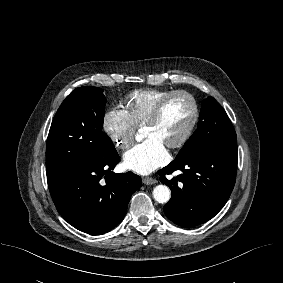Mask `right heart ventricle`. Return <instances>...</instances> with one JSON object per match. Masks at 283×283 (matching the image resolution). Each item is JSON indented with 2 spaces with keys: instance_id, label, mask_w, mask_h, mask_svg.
<instances>
[{
  "instance_id": "1",
  "label": "right heart ventricle",
  "mask_w": 283,
  "mask_h": 283,
  "mask_svg": "<svg viewBox=\"0 0 283 283\" xmlns=\"http://www.w3.org/2000/svg\"><path fill=\"white\" fill-rule=\"evenodd\" d=\"M172 92L157 88L135 90L123 100L124 111L135 127H142L160 99Z\"/></svg>"
}]
</instances>
